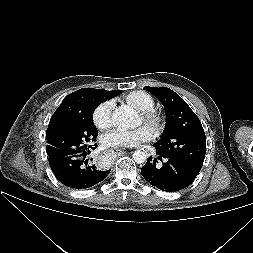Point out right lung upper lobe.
Wrapping results in <instances>:
<instances>
[{
	"instance_id": "1",
	"label": "right lung upper lobe",
	"mask_w": 253,
	"mask_h": 253,
	"mask_svg": "<svg viewBox=\"0 0 253 253\" xmlns=\"http://www.w3.org/2000/svg\"><path fill=\"white\" fill-rule=\"evenodd\" d=\"M90 90H96L98 93H100L105 101L107 99L113 98L119 94H121V91L114 90V91H106L102 89H93V88H83L78 91H75L71 94H69L65 99L62 101L61 105L58 107V109L53 114L49 127L52 125V123L55 120H58L59 118H63L65 116L70 115L74 110L79 107L81 100L83 97L90 91Z\"/></svg>"
}]
</instances>
